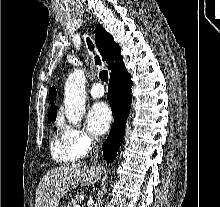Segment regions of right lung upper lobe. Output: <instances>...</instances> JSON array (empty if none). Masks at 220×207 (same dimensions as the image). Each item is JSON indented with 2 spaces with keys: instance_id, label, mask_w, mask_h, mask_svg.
Returning <instances> with one entry per match:
<instances>
[{
  "instance_id": "right-lung-upper-lobe-1",
  "label": "right lung upper lobe",
  "mask_w": 220,
  "mask_h": 207,
  "mask_svg": "<svg viewBox=\"0 0 220 207\" xmlns=\"http://www.w3.org/2000/svg\"><path fill=\"white\" fill-rule=\"evenodd\" d=\"M95 42L104 61L109 64V69L112 70L114 65L122 59L120 55L121 49L117 43L114 42L113 37L105 31L101 25L96 26L95 30ZM50 103L52 104L48 112V120H55L57 111L53 104L56 98V89L52 87L49 89Z\"/></svg>"
}]
</instances>
